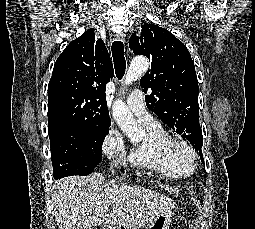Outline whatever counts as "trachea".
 <instances>
[{
  "instance_id": "trachea-1",
  "label": "trachea",
  "mask_w": 255,
  "mask_h": 229,
  "mask_svg": "<svg viewBox=\"0 0 255 229\" xmlns=\"http://www.w3.org/2000/svg\"><path fill=\"white\" fill-rule=\"evenodd\" d=\"M112 57L114 61L115 73L118 79H122L126 69L124 57V46L121 41H114L112 44Z\"/></svg>"
}]
</instances>
